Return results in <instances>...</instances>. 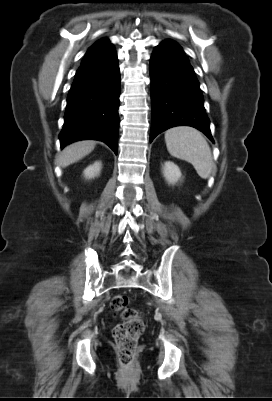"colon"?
I'll return each instance as SVG.
<instances>
[{"label": "colon", "mask_w": 272, "mask_h": 401, "mask_svg": "<svg viewBox=\"0 0 272 401\" xmlns=\"http://www.w3.org/2000/svg\"><path fill=\"white\" fill-rule=\"evenodd\" d=\"M110 307L113 312L120 313L124 319L114 328L113 337L121 363L129 366L134 361L138 340L145 327L144 321L138 310L128 308V298L125 295L114 296Z\"/></svg>", "instance_id": "1"}]
</instances>
